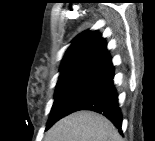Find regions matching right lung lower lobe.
Returning <instances> with one entry per match:
<instances>
[{
    "label": "right lung lower lobe",
    "mask_w": 155,
    "mask_h": 141,
    "mask_svg": "<svg viewBox=\"0 0 155 141\" xmlns=\"http://www.w3.org/2000/svg\"><path fill=\"white\" fill-rule=\"evenodd\" d=\"M113 77L114 67L109 58L62 107L60 119L76 111L91 110L107 117L121 132L122 114Z\"/></svg>",
    "instance_id": "obj_1"
}]
</instances>
